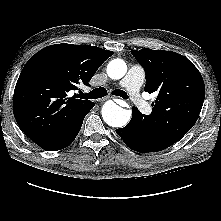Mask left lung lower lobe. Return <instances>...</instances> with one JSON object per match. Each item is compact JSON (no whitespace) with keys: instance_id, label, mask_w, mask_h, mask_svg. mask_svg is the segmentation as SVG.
Wrapping results in <instances>:
<instances>
[{"instance_id":"1","label":"left lung lower lobe","mask_w":221,"mask_h":221,"mask_svg":"<svg viewBox=\"0 0 221 221\" xmlns=\"http://www.w3.org/2000/svg\"><path fill=\"white\" fill-rule=\"evenodd\" d=\"M132 114V118L128 125L124 128L116 129V133L132 150L143 153L161 151L153 145L146 132L140 128L139 121L142 117V113L136 107H133Z\"/></svg>"}]
</instances>
